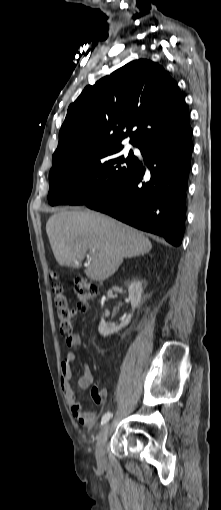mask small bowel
I'll return each mask as SVG.
<instances>
[{
	"label": "small bowel",
	"instance_id": "obj_1",
	"mask_svg": "<svg viewBox=\"0 0 221 510\" xmlns=\"http://www.w3.org/2000/svg\"><path fill=\"white\" fill-rule=\"evenodd\" d=\"M67 345L72 348L68 351L62 360V389L69 404L72 414L76 420L85 426H93L99 416L96 411H86L77 399V393L71 384L73 373L72 363L77 358V353L83 346L82 338L78 334H74L67 338ZM93 384V374L87 364L82 365V374L76 380V386L80 389H87ZM104 399V392L100 391Z\"/></svg>",
	"mask_w": 221,
	"mask_h": 510
}]
</instances>
